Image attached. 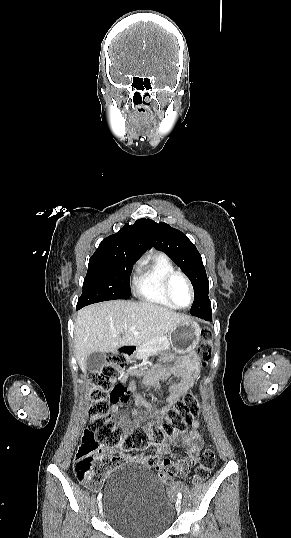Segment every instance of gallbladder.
<instances>
[{"mask_svg":"<svg viewBox=\"0 0 291 538\" xmlns=\"http://www.w3.org/2000/svg\"><path fill=\"white\" fill-rule=\"evenodd\" d=\"M105 364V355L102 352H93L86 358V369L89 372L99 371Z\"/></svg>","mask_w":291,"mask_h":538,"instance_id":"gallbladder-1","label":"gallbladder"}]
</instances>
